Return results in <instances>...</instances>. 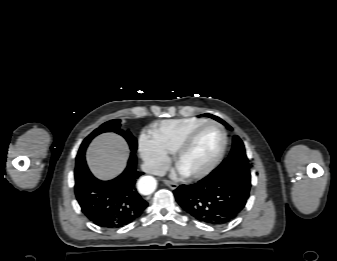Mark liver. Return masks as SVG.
Listing matches in <instances>:
<instances>
[{
	"mask_svg": "<svg viewBox=\"0 0 337 261\" xmlns=\"http://www.w3.org/2000/svg\"><path fill=\"white\" fill-rule=\"evenodd\" d=\"M128 155V146L122 137L114 133H104L91 142L86 152V160L97 178L109 180L124 170Z\"/></svg>",
	"mask_w": 337,
	"mask_h": 261,
	"instance_id": "1",
	"label": "liver"
}]
</instances>
